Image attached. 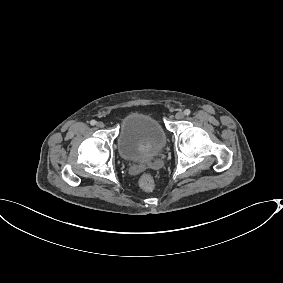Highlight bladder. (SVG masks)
<instances>
[{"label": "bladder", "mask_w": 283, "mask_h": 283, "mask_svg": "<svg viewBox=\"0 0 283 283\" xmlns=\"http://www.w3.org/2000/svg\"><path fill=\"white\" fill-rule=\"evenodd\" d=\"M167 134L152 115L134 112L120 124L116 149L131 161L156 156L166 145Z\"/></svg>", "instance_id": "bladder-1"}]
</instances>
